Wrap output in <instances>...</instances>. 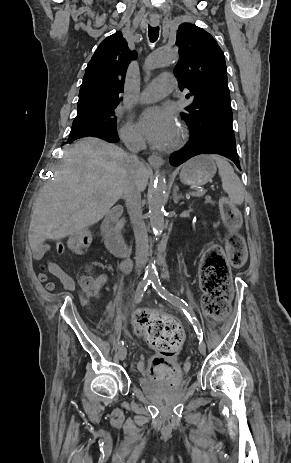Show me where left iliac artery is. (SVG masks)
I'll use <instances>...</instances> for the list:
<instances>
[{
	"label": "left iliac artery",
	"mask_w": 291,
	"mask_h": 463,
	"mask_svg": "<svg viewBox=\"0 0 291 463\" xmlns=\"http://www.w3.org/2000/svg\"><path fill=\"white\" fill-rule=\"evenodd\" d=\"M151 283L153 288L158 292V294L164 298L165 300L169 301L171 304L179 307L184 314L187 316L189 321L193 324L196 334L198 335V339L201 341L203 340V332L201 326L194 316L193 312L189 308L187 302L182 298L170 293L164 286H162L158 277L154 276L151 278Z\"/></svg>",
	"instance_id": "44dca946"
}]
</instances>
